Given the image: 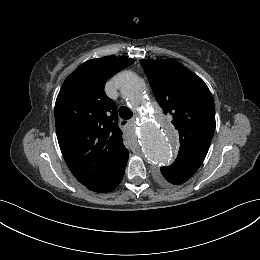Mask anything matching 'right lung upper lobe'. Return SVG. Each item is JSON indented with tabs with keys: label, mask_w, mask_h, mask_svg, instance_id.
<instances>
[{
	"label": "right lung upper lobe",
	"mask_w": 260,
	"mask_h": 260,
	"mask_svg": "<svg viewBox=\"0 0 260 260\" xmlns=\"http://www.w3.org/2000/svg\"><path fill=\"white\" fill-rule=\"evenodd\" d=\"M133 62L114 56L88 60L65 79L57 96L58 143L70 171L85 186L113 177L127 163L117 107L104 87Z\"/></svg>",
	"instance_id": "right-lung-upper-lobe-1"
}]
</instances>
